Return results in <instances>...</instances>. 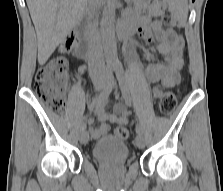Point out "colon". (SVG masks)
I'll return each instance as SVG.
<instances>
[{"label":"colon","mask_w":223,"mask_h":191,"mask_svg":"<svg viewBox=\"0 0 223 191\" xmlns=\"http://www.w3.org/2000/svg\"><path fill=\"white\" fill-rule=\"evenodd\" d=\"M168 27H174L175 22L170 17L164 18ZM77 38L74 35L67 36L61 49L70 52L74 49ZM68 74V62L63 57H53L35 74L34 90L36 94L53 110L63 112L65 109V83ZM177 105L176 96L172 92H166L159 101L158 111L162 115L171 114ZM117 137L127 139L129 131L119 126L115 130Z\"/></svg>","instance_id":"colon-1"}]
</instances>
